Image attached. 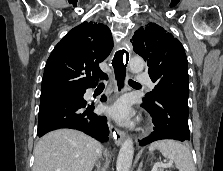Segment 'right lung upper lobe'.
I'll return each mask as SVG.
<instances>
[{
    "label": "right lung upper lobe",
    "instance_id": "cb5924a9",
    "mask_svg": "<svg viewBox=\"0 0 223 171\" xmlns=\"http://www.w3.org/2000/svg\"><path fill=\"white\" fill-rule=\"evenodd\" d=\"M112 48L110 29L103 23L85 21L70 30L47 60L40 99L84 91L96 84L106 75L98 64Z\"/></svg>",
    "mask_w": 223,
    "mask_h": 171
}]
</instances>
